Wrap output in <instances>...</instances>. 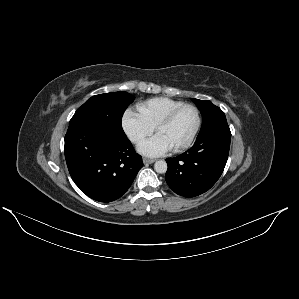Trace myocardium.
Here are the masks:
<instances>
[{
	"mask_svg": "<svg viewBox=\"0 0 299 299\" xmlns=\"http://www.w3.org/2000/svg\"><path fill=\"white\" fill-rule=\"evenodd\" d=\"M186 108H190L195 112L196 126L187 141H185L183 144L173 148V150L175 152H180L182 150L187 149L189 146L192 145V143L196 139V137L199 133V130L201 128V124H202V117H201L200 110L193 104H183L182 106H179V107L175 108L174 110H172L171 112H169L164 118H162L158 122V124L155 127L156 131L158 132L160 128L170 124L174 120V118L178 115V113H180L183 109H186Z\"/></svg>",
	"mask_w": 299,
	"mask_h": 299,
	"instance_id": "1",
	"label": "myocardium"
}]
</instances>
